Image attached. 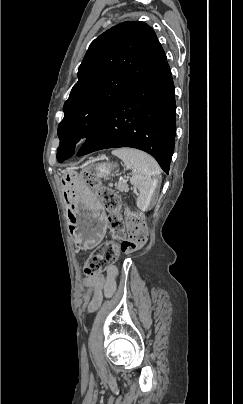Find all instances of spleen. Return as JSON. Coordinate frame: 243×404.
I'll return each instance as SVG.
<instances>
[{"label": "spleen", "mask_w": 243, "mask_h": 404, "mask_svg": "<svg viewBox=\"0 0 243 404\" xmlns=\"http://www.w3.org/2000/svg\"><path fill=\"white\" fill-rule=\"evenodd\" d=\"M112 154L120 158L128 170H133L130 182L139 190L136 206L141 212H148L153 206L151 200L157 186V178L160 176L156 160L135 148H117Z\"/></svg>", "instance_id": "1"}]
</instances>
